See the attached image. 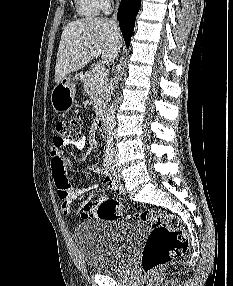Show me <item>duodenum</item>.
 I'll list each match as a JSON object with an SVG mask.
<instances>
[{
  "label": "duodenum",
  "mask_w": 233,
  "mask_h": 286,
  "mask_svg": "<svg viewBox=\"0 0 233 286\" xmlns=\"http://www.w3.org/2000/svg\"><path fill=\"white\" fill-rule=\"evenodd\" d=\"M96 127L97 130L101 133H105L106 130V123H105V119L102 115H99L97 122H96Z\"/></svg>",
  "instance_id": "duodenum-1"
}]
</instances>
